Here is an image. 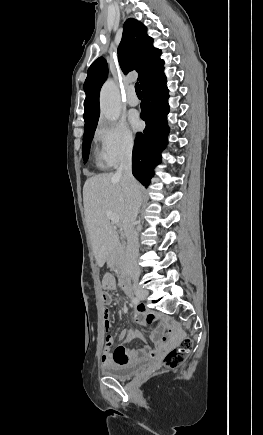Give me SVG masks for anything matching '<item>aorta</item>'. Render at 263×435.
I'll list each match as a JSON object with an SVG mask.
<instances>
[{"label": "aorta", "instance_id": "1", "mask_svg": "<svg viewBox=\"0 0 263 435\" xmlns=\"http://www.w3.org/2000/svg\"><path fill=\"white\" fill-rule=\"evenodd\" d=\"M101 114L110 121H116L121 114L118 89L112 80H108L100 92Z\"/></svg>", "mask_w": 263, "mask_h": 435}]
</instances>
